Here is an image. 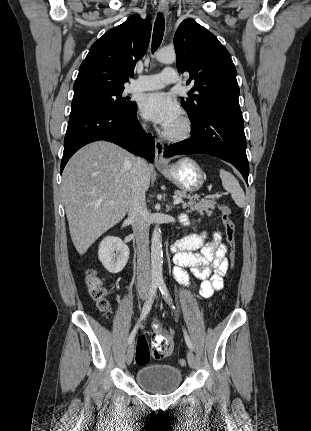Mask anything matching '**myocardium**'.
Listing matches in <instances>:
<instances>
[{
	"label": "myocardium",
	"instance_id": "myocardium-1",
	"mask_svg": "<svg viewBox=\"0 0 311 431\" xmlns=\"http://www.w3.org/2000/svg\"><path fill=\"white\" fill-rule=\"evenodd\" d=\"M180 128L175 132H164L163 136L169 141L177 142L189 138L194 132V121L187 113L180 117Z\"/></svg>",
	"mask_w": 311,
	"mask_h": 431
}]
</instances>
